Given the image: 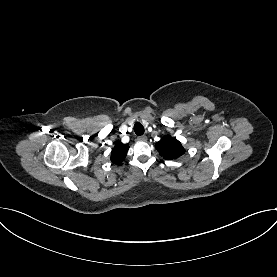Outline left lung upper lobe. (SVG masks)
I'll return each mask as SVG.
<instances>
[{"mask_svg":"<svg viewBox=\"0 0 277 277\" xmlns=\"http://www.w3.org/2000/svg\"><path fill=\"white\" fill-rule=\"evenodd\" d=\"M156 149L166 160L177 159L185 153V149L182 147L181 143L171 136H164L158 141L156 143Z\"/></svg>","mask_w":277,"mask_h":277,"instance_id":"left-lung-upper-lobe-1","label":"left lung upper lobe"}]
</instances>
